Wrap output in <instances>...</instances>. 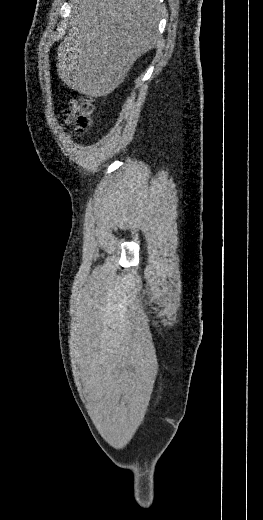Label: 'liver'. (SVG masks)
I'll return each instance as SVG.
<instances>
[{"label":"liver","mask_w":263,"mask_h":520,"mask_svg":"<svg viewBox=\"0 0 263 520\" xmlns=\"http://www.w3.org/2000/svg\"><path fill=\"white\" fill-rule=\"evenodd\" d=\"M71 29L60 43L59 78L90 97L107 96L159 41V0H73Z\"/></svg>","instance_id":"1"}]
</instances>
